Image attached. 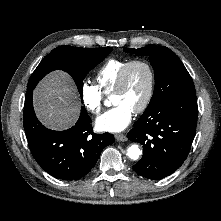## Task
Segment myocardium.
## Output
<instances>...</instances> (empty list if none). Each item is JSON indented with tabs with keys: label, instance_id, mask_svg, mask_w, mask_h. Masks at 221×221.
I'll use <instances>...</instances> for the list:
<instances>
[{
	"label": "myocardium",
	"instance_id": "obj_1",
	"mask_svg": "<svg viewBox=\"0 0 221 221\" xmlns=\"http://www.w3.org/2000/svg\"><path fill=\"white\" fill-rule=\"evenodd\" d=\"M135 65H142L147 70L148 75H149V85H148V90H147L146 96H145L143 102L140 104V106L134 110V113L140 114V113L144 112L147 109V107L149 106V104L152 100V97L154 94V88H155V72H154L152 65L148 61H146L144 59L130 60L121 70V73L118 77L116 86H115L112 94L114 95V94L120 93L124 89L126 81H127L128 73H129L130 69Z\"/></svg>",
	"mask_w": 221,
	"mask_h": 221
}]
</instances>
